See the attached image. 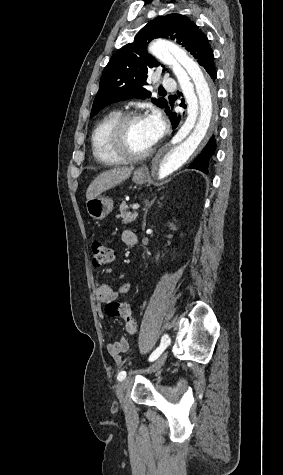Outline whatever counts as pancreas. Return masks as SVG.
<instances>
[{"instance_id": "pancreas-1", "label": "pancreas", "mask_w": 283, "mask_h": 475, "mask_svg": "<svg viewBox=\"0 0 283 475\" xmlns=\"http://www.w3.org/2000/svg\"><path fill=\"white\" fill-rule=\"evenodd\" d=\"M119 212L120 214H117L116 218H122L123 224H130V222H135L138 216L137 212H134V214L128 212L125 202H122L119 208Z\"/></svg>"}]
</instances>
